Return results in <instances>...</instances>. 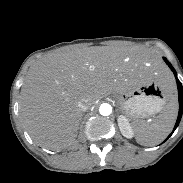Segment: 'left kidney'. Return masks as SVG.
Masks as SVG:
<instances>
[{
	"mask_svg": "<svg viewBox=\"0 0 183 183\" xmlns=\"http://www.w3.org/2000/svg\"><path fill=\"white\" fill-rule=\"evenodd\" d=\"M117 122H118V126L121 134L124 137L131 139L134 135V132L131 124L129 123V120L125 116L120 115L118 116Z\"/></svg>",
	"mask_w": 183,
	"mask_h": 183,
	"instance_id": "1",
	"label": "left kidney"
}]
</instances>
